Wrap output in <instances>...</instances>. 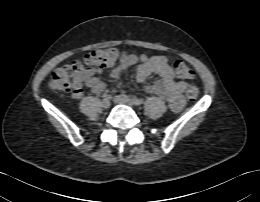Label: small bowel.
Wrapping results in <instances>:
<instances>
[{"label":"small bowel","mask_w":260,"mask_h":202,"mask_svg":"<svg viewBox=\"0 0 260 202\" xmlns=\"http://www.w3.org/2000/svg\"><path fill=\"white\" fill-rule=\"evenodd\" d=\"M138 61L140 64L136 69V79L139 83L152 74H156L159 79L146 87L149 93L160 96L167 101L171 108L180 111L183 106L182 93L187 89V84L183 81L175 80L174 73L167 59L163 56H136L134 54H125L121 57L117 67L111 70L109 76L114 80H119L124 70L132 67ZM95 72L86 73L75 84L73 98L80 99L83 96V84L86 85L95 94L103 92L106 88L105 83L94 76Z\"/></svg>","instance_id":"c3829d8e"}]
</instances>
